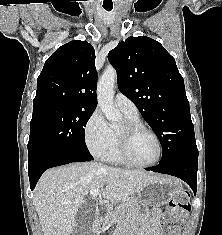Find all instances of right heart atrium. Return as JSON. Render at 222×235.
<instances>
[{"label": "right heart atrium", "instance_id": "obj_1", "mask_svg": "<svg viewBox=\"0 0 222 235\" xmlns=\"http://www.w3.org/2000/svg\"><path fill=\"white\" fill-rule=\"evenodd\" d=\"M84 139L89 151L101 157L111 146L113 133L99 109L93 111L84 127Z\"/></svg>", "mask_w": 222, "mask_h": 235}]
</instances>
